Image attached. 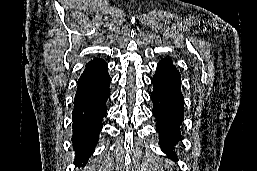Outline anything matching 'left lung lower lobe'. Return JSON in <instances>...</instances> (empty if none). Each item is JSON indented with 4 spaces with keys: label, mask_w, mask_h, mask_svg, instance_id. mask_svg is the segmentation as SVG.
Listing matches in <instances>:
<instances>
[{
    "label": "left lung lower lobe",
    "mask_w": 257,
    "mask_h": 171,
    "mask_svg": "<svg viewBox=\"0 0 257 171\" xmlns=\"http://www.w3.org/2000/svg\"><path fill=\"white\" fill-rule=\"evenodd\" d=\"M181 76L170 58L162 59L153 76V114L157 120L160 146L174 160L173 146L180 140V124L184 119V99L180 89Z\"/></svg>",
    "instance_id": "left-lung-lower-lobe-1"
}]
</instances>
